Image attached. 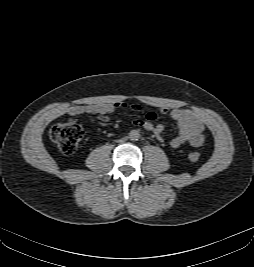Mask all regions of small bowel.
Instances as JSON below:
<instances>
[{"mask_svg": "<svg viewBox=\"0 0 254 267\" xmlns=\"http://www.w3.org/2000/svg\"><path fill=\"white\" fill-rule=\"evenodd\" d=\"M125 106L126 104L122 102H98L88 105H76L69 109V114L72 116L95 115L101 121H107L109 114ZM129 107L133 111L141 110V105L137 103L131 104ZM160 112L162 114H169L176 124L177 134L170 141L171 147L178 148L183 145L199 147L204 143V124L195 113L188 109H169L167 107H162ZM156 118V113L148 112L143 119H135L133 124L152 132L158 140H162L165 126L163 124H155Z\"/></svg>", "mask_w": 254, "mask_h": 267, "instance_id": "small-bowel-1", "label": "small bowel"}]
</instances>
